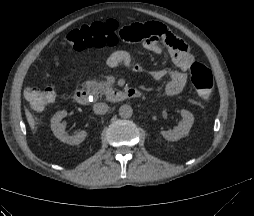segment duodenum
I'll use <instances>...</instances> for the list:
<instances>
[{
    "mask_svg": "<svg viewBox=\"0 0 254 216\" xmlns=\"http://www.w3.org/2000/svg\"><path fill=\"white\" fill-rule=\"evenodd\" d=\"M140 97V92L137 89L129 88L125 90H112L107 95L110 102H118L127 98ZM75 100L81 105H87L90 102V93L87 89L80 88L75 92Z\"/></svg>",
    "mask_w": 254,
    "mask_h": 216,
    "instance_id": "duodenum-1",
    "label": "duodenum"
}]
</instances>
